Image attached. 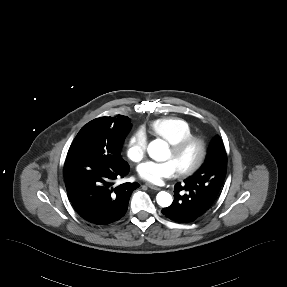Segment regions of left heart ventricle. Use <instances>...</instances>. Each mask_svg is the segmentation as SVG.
<instances>
[{"label":"left heart ventricle","mask_w":287,"mask_h":287,"mask_svg":"<svg viewBox=\"0 0 287 287\" xmlns=\"http://www.w3.org/2000/svg\"><path fill=\"white\" fill-rule=\"evenodd\" d=\"M196 155H197V149L195 147L188 149L186 152H184L180 156H174L171 150H169L166 160L173 161L177 169L179 170L180 168L192 163L194 159L196 158Z\"/></svg>","instance_id":"obj_1"}]
</instances>
